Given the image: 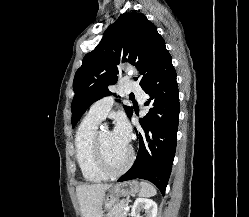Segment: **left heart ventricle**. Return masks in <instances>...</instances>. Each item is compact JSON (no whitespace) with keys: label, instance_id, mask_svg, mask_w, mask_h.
<instances>
[{"label":"left heart ventricle","instance_id":"obj_1","mask_svg":"<svg viewBox=\"0 0 249 217\" xmlns=\"http://www.w3.org/2000/svg\"><path fill=\"white\" fill-rule=\"evenodd\" d=\"M101 142L109 164L119 168L127 158V146L120 145L109 130L101 131Z\"/></svg>","mask_w":249,"mask_h":217}]
</instances>
